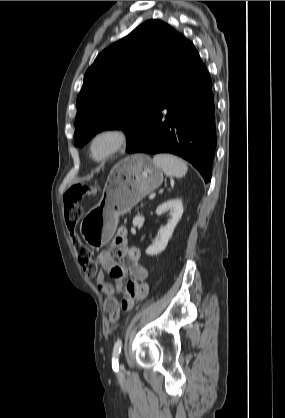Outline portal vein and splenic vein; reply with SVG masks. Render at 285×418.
Segmentation results:
<instances>
[{"instance_id": "18ae733b", "label": "portal vein and splenic vein", "mask_w": 285, "mask_h": 418, "mask_svg": "<svg viewBox=\"0 0 285 418\" xmlns=\"http://www.w3.org/2000/svg\"><path fill=\"white\" fill-rule=\"evenodd\" d=\"M155 195H156L155 193L150 194L149 199L150 200L153 199L155 197Z\"/></svg>"}]
</instances>
